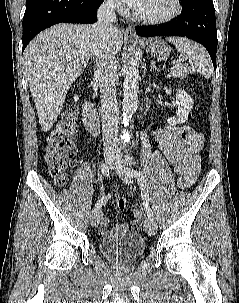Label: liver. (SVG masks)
Listing matches in <instances>:
<instances>
[{
  "mask_svg": "<svg viewBox=\"0 0 239 303\" xmlns=\"http://www.w3.org/2000/svg\"><path fill=\"white\" fill-rule=\"evenodd\" d=\"M94 25L58 24L38 34L24 51V68L42 130L51 129L72 83L97 46ZM111 49L118 53L123 34L115 28Z\"/></svg>",
  "mask_w": 239,
  "mask_h": 303,
  "instance_id": "obj_1",
  "label": "liver"
}]
</instances>
